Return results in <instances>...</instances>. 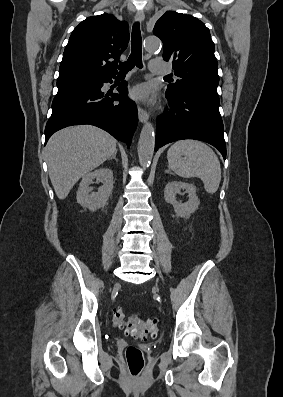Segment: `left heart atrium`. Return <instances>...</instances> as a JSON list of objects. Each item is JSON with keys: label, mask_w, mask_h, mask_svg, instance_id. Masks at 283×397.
Wrapping results in <instances>:
<instances>
[{"label": "left heart atrium", "mask_w": 283, "mask_h": 397, "mask_svg": "<svg viewBox=\"0 0 283 397\" xmlns=\"http://www.w3.org/2000/svg\"><path fill=\"white\" fill-rule=\"evenodd\" d=\"M129 95L134 100L147 102L150 100L151 91L147 85L139 84L130 90Z\"/></svg>", "instance_id": "1"}]
</instances>
